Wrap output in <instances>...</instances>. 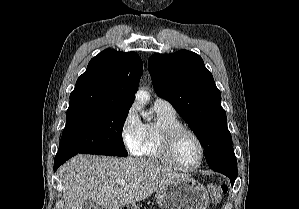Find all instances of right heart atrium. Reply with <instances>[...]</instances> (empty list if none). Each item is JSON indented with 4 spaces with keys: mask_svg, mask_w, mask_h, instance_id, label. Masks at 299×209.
<instances>
[{
    "mask_svg": "<svg viewBox=\"0 0 299 209\" xmlns=\"http://www.w3.org/2000/svg\"><path fill=\"white\" fill-rule=\"evenodd\" d=\"M143 124L132 106L125 114L120 128V135L125 148L132 154H136L142 138Z\"/></svg>",
    "mask_w": 299,
    "mask_h": 209,
    "instance_id": "1",
    "label": "right heart atrium"
}]
</instances>
